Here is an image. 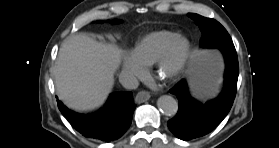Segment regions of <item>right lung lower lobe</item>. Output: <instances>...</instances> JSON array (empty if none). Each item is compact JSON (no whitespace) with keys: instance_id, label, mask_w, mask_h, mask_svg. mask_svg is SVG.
<instances>
[{"instance_id":"98d812e1","label":"right lung lower lobe","mask_w":279,"mask_h":148,"mask_svg":"<svg viewBox=\"0 0 279 148\" xmlns=\"http://www.w3.org/2000/svg\"><path fill=\"white\" fill-rule=\"evenodd\" d=\"M58 108L72 127L87 138L110 142L123 136L130 127L134 104L131 92L112 93L100 111L94 114H78L57 100Z\"/></svg>"}]
</instances>
